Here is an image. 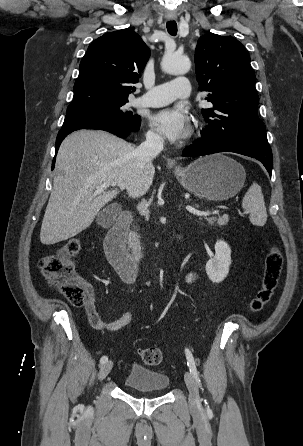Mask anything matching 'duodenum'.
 I'll use <instances>...</instances> for the list:
<instances>
[{
  "instance_id": "1",
  "label": "duodenum",
  "mask_w": 303,
  "mask_h": 446,
  "mask_svg": "<svg viewBox=\"0 0 303 446\" xmlns=\"http://www.w3.org/2000/svg\"><path fill=\"white\" fill-rule=\"evenodd\" d=\"M131 221V213L129 211H122L118 215L114 225L109 229L104 240V250L110 264L126 281L134 280L138 270L137 260L127 252L125 246L126 234ZM179 243V235H174L168 246L167 254H174Z\"/></svg>"
}]
</instances>
